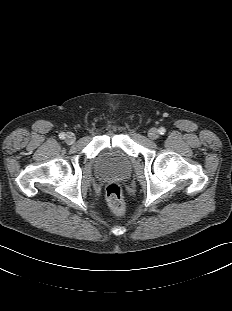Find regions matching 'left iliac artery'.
Here are the masks:
<instances>
[{
  "instance_id": "left-iliac-artery-1",
  "label": "left iliac artery",
  "mask_w": 232,
  "mask_h": 311,
  "mask_svg": "<svg viewBox=\"0 0 232 311\" xmlns=\"http://www.w3.org/2000/svg\"><path fill=\"white\" fill-rule=\"evenodd\" d=\"M158 131L161 135H163L166 132V129L164 127H161Z\"/></svg>"
}]
</instances>
